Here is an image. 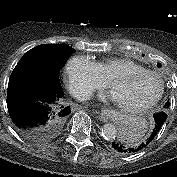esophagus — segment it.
Returning <instances> with one entry per match:
<instances>
[{"label":"esophagus","instance_id":"esophagus-1","mask_svg":"<svg viewBox=\"0 0 177 177\" xmlns=\"http://www.w3.org/2000/svg\"><path fill=\"white\" fill-rule=\"evenodd\" d=\"M111 111L108 109H102L101 110V117L102 119H106L108 116H110Z\"/></svg>","mask_w":177,"mask_h":177}]
</instances>
